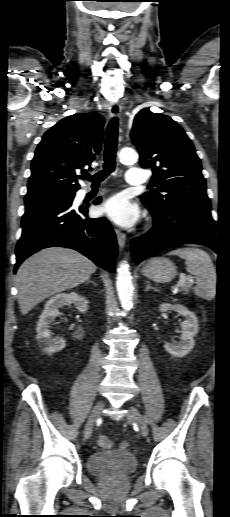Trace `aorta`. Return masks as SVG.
I'll use <instances>...</instances> for the list:
<instances>
[{"instance_id": "762f6f07", "label": "aorta", "mask_w": 230, "mask_h": 517, "mask_svg": "<svg viewBox=\"0 0 230 517\" xmlns=\"http://www.w3.org/2000/svg\"><path fill=\"white\" fill-rule=\"evenodd\" d=\"M137 154L133 149L123 148L119 152V159L122 163H135L137 161ZM116 288L119 300L125 310L132 307L133 301V284L132 277L127 262H121L117 269Z\"/></svg>"}]
</instances>
